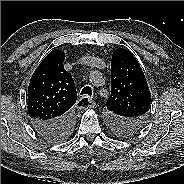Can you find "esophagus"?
Masks as SVG:
<instances>
[{"label":"esophagus","instance_id":"esophagus-1","mask_svg":"<svg viewBox=\"0 0 184 184\" xmlns=\"http://www.w3.org/2000/svg\"><path fill=\"white\" fill-rule=\"evenodd\" d=\"M95 105V101L91 100L88 96L80 97L77 101V108L83 110L93 108Z\"/></svg>","mask_w":184,"mask_h":184}]
</instances>
